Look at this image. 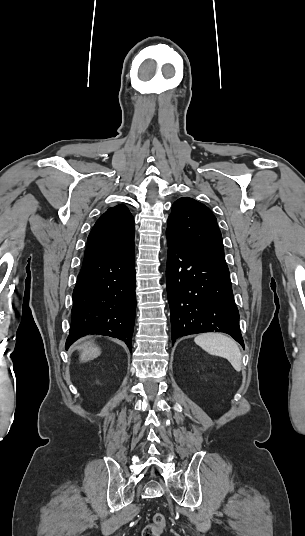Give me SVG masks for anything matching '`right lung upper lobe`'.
I'll use <instances>...</instances> for the list:
<instances>
[{
    "label": "right lung upper lobe",
    "instance_id": "cb5924a9",
    "mask_svg": "<svg viewBox=\"0 0 305 536\" xmlns=\"http://www.w3.org/2000/svg\"><path fill=\"white\" fill-rule=\"evenodd\" d=\"M134 249V219L125 205L109 208L91 230L83 263L106 259Z\"/></svg>",
    "mask_w": 305,
    "mask_h": 536
}]
</instances>
